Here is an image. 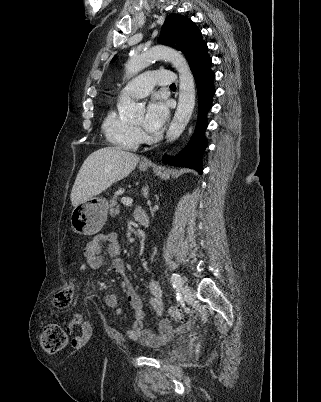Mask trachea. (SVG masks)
Masks as SVG:
<instances>
[{
  "mask_svg": "<svg viewBox=\"0 0 321 402\" xmlns=\"http://www.w3.org/2000/svg\"><path fill=\"white\" fill-rule=\"evenodd\" d=\"M170 87H176V85H175V84H171Z\"/></svg>",
  "mask_w": 321,
  "mask_h": 402,
  "instance_id": "trachea-1",
  "label": "trachea"
}]
</instances>
